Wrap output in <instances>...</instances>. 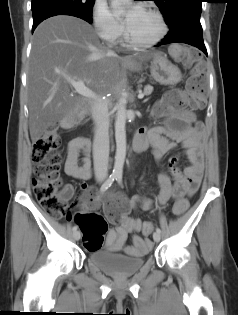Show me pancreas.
<instances>
[{
  "mask_svg": "<svg viewBox=\"0 0 238 315\" xmlns=\"http://www.w3.org/2000/svg\"><path fill=\"white\" fill-rule=\"evenodd\" d=\"M152 91H153V86H151V85H146L145 87H144V95H150L151 93H152Z\"/></svg>",
  "mask_w": 238,
  "mask_h": 315,
  "instance_id": "obj_1",
  "label": "pancreas"
}]
</instances>
